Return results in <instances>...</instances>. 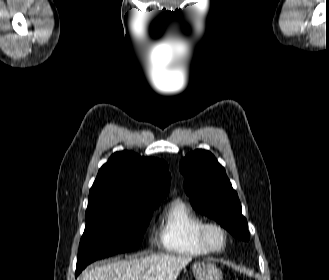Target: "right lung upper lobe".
<instances>
[{
	"instance_id": "right-lung-upper-lobe-1",
	"label": "right lung upper lobe",
	"mask_w": 329,
	"mask_h": 280,
	"mask_svg": "<svg viewBox=\"0 0 329 280\" xmlns=\"http://www.w3.org/2000/svg\"><path fill=\"white\" fill-rule=\"evenodd\" d=\"M168 165L133 152L114 153L99 170L90 189L86 214L114 200H162L169 192Z\"/></svg>"
}]
</instances>
